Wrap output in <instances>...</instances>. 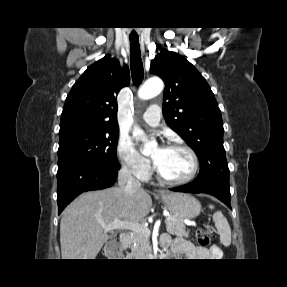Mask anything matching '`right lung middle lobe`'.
I'll use <instances>...</instances> for the list:
<instances>
[{
	"label": "right lung middle lobe",
	"mask_w": 287,
	"mask_h": 287,
	"mask_svg": "<svg viewBox=\"0 0 287 287\" xmlns=\"http://www.w3.org/2000/svg\"><path fill=\"white\" fill-rule=\"evenodd\" d=\"M119 128L80 123L60 129L58 170L84 163L118 170L116 156Z\"/></svg>",
	"instance_id": "dd1d6c3e"
}]
</instances>
